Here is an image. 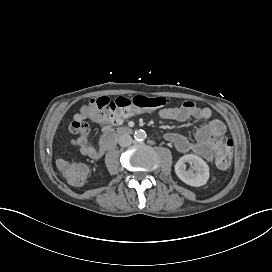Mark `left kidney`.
Listing matches in <instances>:
<instances>
[{
	"label": "left kidney",
	"instance_id": "left-kidney-1",
	"mask_svg": "<svg viewBox=\"0 0 272 272\" xmlns=\"http://www.w3.org/2000/svg\"><path fill=\"white\" fill-rule=\"evenodd\" d=\"M186 162H189L191 165H193L192 170L187 171L185 169ZM175 173L184 183L194 187L205 185L209 179L208 165L202 158L194 154H187L182 156L175 164Z\"/></svg>",
	"mask_w": 272,
	"mask_h": 272
}]
</instances>
